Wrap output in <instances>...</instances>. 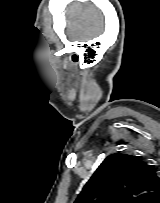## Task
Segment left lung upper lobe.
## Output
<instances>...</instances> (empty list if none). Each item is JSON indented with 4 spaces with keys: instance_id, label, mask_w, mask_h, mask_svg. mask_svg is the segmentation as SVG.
<instances>
[{
    "instance_id": "left-lung-upper-lobe-1",
    "label": "left lung upper lobe",
    "mask_w": 160,
    "mask_h": 203,
    "mask_svg": "<svg viewBox=\"0 0 160 203\" xmlns=\"http://www.w3.org/2000/svg\"><path fill=\"white\" fill-rule=\"evenodd\" d=\"M160 178L135 156L109 155L94 172L74 203H153Z\"/></svg>"
}]
</instances>
